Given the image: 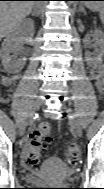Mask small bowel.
<instances>
[{"instance_id": "small-bowel-1", "label": "small bowel", "mask_w": 104, "mask_h": 189, "mask_svg": "<svg viewBox=\"0 0 104 189\" xmlns=\"http://www.w3.org/2000/svg\"><path fill=\"white\" fill-rule=\"evenodd\" d=\"M97 69L100 70V73H96ZM17 78H18V75L4 76V77H2L1 81H2V84L4 86L9 87L16 81ZM92 79L94 80L96 88L98 90H102L103 89V72H102L101 68H95V69L92 70ZM32 134H33V132L29 133V136H28V139H27V144L24 147V154L25 155H26V152L29 148V144H30V141H31V138H32Z\"/></svg>"}]
</instances>
